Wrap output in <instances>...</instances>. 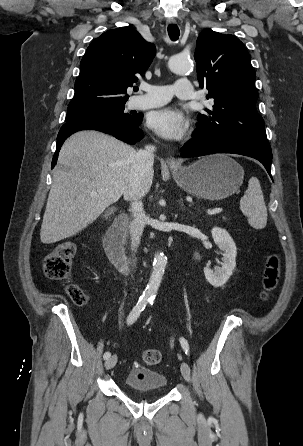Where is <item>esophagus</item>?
Listing matches in <instances>:
<instances>
[{
  "label": "esophagus",
  "instance_id": "34e87169",
  "mask_svg": "<svg viewBox=\"0 0 303 446\" xmlns=\"http://www.w3.org/2000/svg\"><path fill=\"white\" fill-rule=\"evenodd\" d=\"M167 24H169V25H170V24H176V20H175L174 18H169V19L167 20ZM167 164H168L170 167H176V166L179 165V162L177 161L176 158L170 156V157L167 158Z\"/></svg>",
  "mask_w": 303,
  "mask_h": 446
}]
</instances>
